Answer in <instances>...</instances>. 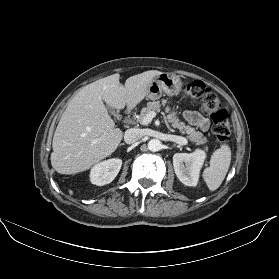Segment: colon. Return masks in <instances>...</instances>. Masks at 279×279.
Masks as SVG:
<instances>
[{
	"label": "colon",
	"mask_w": 279,
	"mask_h": 279,
	"mask_svg": "<svg viewBox=\"0 0 279 279\" xmlns=\"http://www.w3.org/2000/svg\"><path fill=\"white\" fill-rule=\"evenodd\" d=\"M184 95L199 103L202 113L210 117L216 139L221 143L228 142L231 138L229 118L219 97L198 80L184 87Z\"/></svg>",
	"instance_id": "5ec220e1"
}]
</instances>
